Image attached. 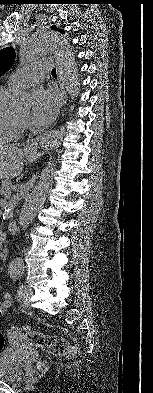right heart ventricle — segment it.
I'll return each instance as SVG.
<instances>
[{"label": "right heart ventricle", "instance_id": "obj_1", "mask_svg": "<svg viewBox=\"0 0 153 393\" xmlns=\"http://www.w3.org/2000/svg\"><path fill=\"white\" fill-rule=\"evenodd\" d=\"M10 94L11 89H0V145L16 140L22 132L8 106Z\"/></svg>", "mask_w": 153, "mask_h": 393}]
</instances>
